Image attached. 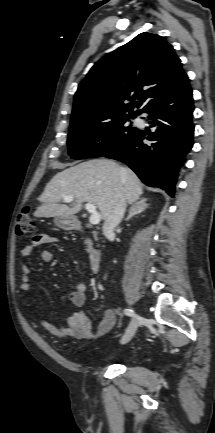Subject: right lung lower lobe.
<instances>
[{
  "label": "right lung lower lobe",
  "mask_w": 215,
  "mask_h": 433,
  "mask_svg": "<svg viewBox=\"0 0 215 433\" xmlns=\"http://www.w3.org/2000/svg\"><path fill=\"white\" fill-rule=\"evenodd\" d=\"M192 90L189 81L152 103L145 113L155 132L138 133L125 145L106 155L126 163L150 187H159L173 196L178 169L193 146ZM145 139L153 141L151 145Z\"/></svg>",
  "instance_id": "98d812e1"
}]
</instances>
